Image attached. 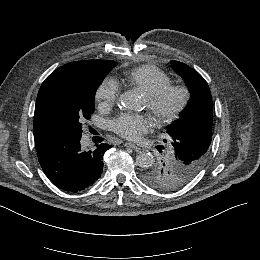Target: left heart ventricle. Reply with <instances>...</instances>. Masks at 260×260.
<instances>
[{"label":"left heart ventricle","mask_w":260,"mask_h":260,"mask_svg":"<svg viewBox=\"0 0 260 260\" xmlns=\"http://www.w3.org/2000/svg\"><path fill=\"white\" fill-rule=\"evenodd\" d=\"M178 101H179V96L176 93L171 94L164 103V109L168 110V109L173 108L178 103ZM144 103H145V107H146L145 97H144ZM152 118H153V116H152Z\"/></svg>","instance_id":"obj_1"}]
</instances>
